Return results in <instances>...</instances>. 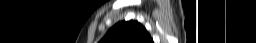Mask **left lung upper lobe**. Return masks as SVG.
I'll return each instance as SVG.
<instances>
[{
    "mask_svg": "<svg viewBox=\"0 0 256 43\" xmlns=\"http://www.w3.org/2000/svg\"><path fill=\"white\" fill-rule=\"evenodd\" d=\"M100 43H153V40L140 23L131 20L117 23Z\"/></svg>",
    "mask_w": 256,
    "mask_h": 43,
    "instance_id": "left-lung-upper-lobe-1",
    "label": "left lung upper lobe"
}]
</instances>
